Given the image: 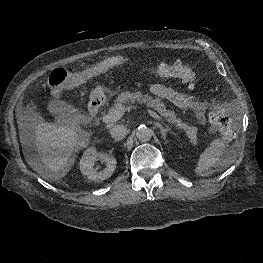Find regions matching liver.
Masks as SVG:
<instances>
[{"label": "liver", "mask_w": 263, "mask_h": 263, "mask_svg": "<svg viewBox=\"0 0 263 263\" xmlns=\"http://www.w3.org/2000/svg\"><path fill=\"white\" fill-rule=\"evenodd\" d=\"M16 117L22 146L26 148L30 136L39 152L37 161L28 158L29 164L44 179L63 178L74 164L75 153L89 144L90 133L74 123L58 125L44 120L31 123L19 111Z\"/></svg>", "instance_id": "liver-1"}]
</instances>
